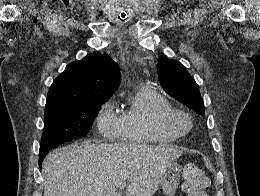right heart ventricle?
<instances>
[{
	"instance_id": "e07e8e85",
	"label": "right heart ventricle",
	"mask_w": 260,
	"mask_h": 196,
	"mask_svg": "<svg viewBox=\"0 0 260 196\" xmlns=\"http://www.w3.org/2000/svg\"><path fill=\"white\" fill-rule=\"evenodd\" d=\"M172 109L168 99L149 85H135L120 115L121 128L137 132L134 139L127 143L168 144L177 141L180 136L157 126L154 111L159 116ZM91 192H114L113 190H91Z\"/></svg>"
}]
</instances>
